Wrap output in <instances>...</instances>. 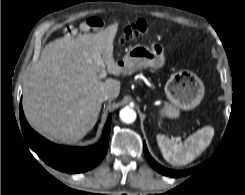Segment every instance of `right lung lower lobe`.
<instances>
[{
    "mask_svg": "<svg viewBox=\"0 0 245 195\" xmlns=\"http://www.w3.org/2000/svg\"><path fill=\"white\" fill-rule=\"evenodd\" d=\"M20 123L22 132L30 148L51 167L70 174L81 173L94 168L104 158L109 141L111 115H109L103 136L99 143L89 147H68L51 143L28 124L22 109L19 106Z\"/></svg>",
    "mask_w": 245,
    "mask_h": 195,
    "instance_id": "obj_1",
    "label": "right lung lower lobe"
}]
</instances>
